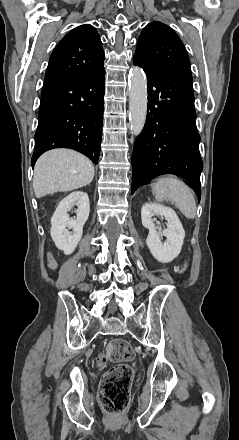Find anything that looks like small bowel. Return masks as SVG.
I'll list each match as a JSON object with an SVG mask.
<instances>
[{
  "label": "small bowel",
  "mask_w": 239,
  "mask_h": 440,
  "mask_svg": "<svg viewBox=\"0 0 239 440\" xmlns=\"http://www.w3.org/2000/svg\"><path fill=\"white\" fill-rule=\"evenodd\" d=\"M47 263L51 269H55L57 267V263L51 255L47 256Z\"/></svg>",
  "instance_id": "c3829d8e"
}]
</instances>
